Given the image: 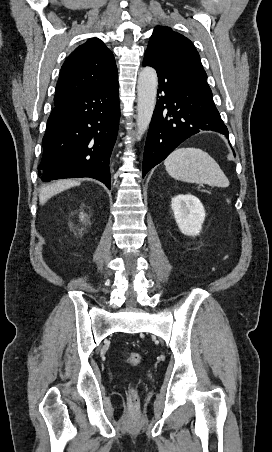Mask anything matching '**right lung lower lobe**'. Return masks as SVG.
<instances>
[{
  "label": "right lung lower lobe",
  "mask_w": 272,
  "mask_h": 452,
  "mask_svg": "<svg viewBox=\"0 0 272 452\" xmlns=\"http://www.w3.org/2000/svg\"><path fill=\"white\" fill-rule=\"evenodd\" d=\"M118 78L55 106L43 138L40 179L90 177L109 189V161L120 118Z\"/></svg>",
  "instance_id": "1"
}]
</instances>
